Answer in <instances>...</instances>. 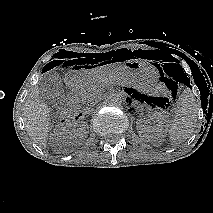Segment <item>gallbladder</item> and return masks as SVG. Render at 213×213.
<instances>
[{
    "instance_id": "bac80fb5",
    "label": "gallbladder",
    "mask_w": 213,
    "mask_h": 213,
    "mask_svg": "<svg viewBox=\"0 0 213 213\" xmlns=\"http://www.w3.org/2000/svg\"><path fill=\"white\" fill-rule=\"evenodd\" d=\"M38 88L45 102L57 109L65 108L67 98L61 77L56 71L44 74L38 82Z\"/></svg>"
}]
</instances>
